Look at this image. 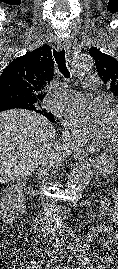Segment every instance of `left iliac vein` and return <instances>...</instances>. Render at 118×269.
Segmentation results:
<instances>
[{"label": "left iliac vein", "instance_id": "left-iliac-vein-1", "mask_svg": "<svg viewBox=\"0 0 118 269\" xmlns=\"http://www.w3.org/2000/svg\"><path fill=\"white\" fill-rule=\"evenodd\" d=\"M62 269H69L68 267H63Z\"/></svg>", "mask_w": 118, "mask_h": 269}]
</instances>
